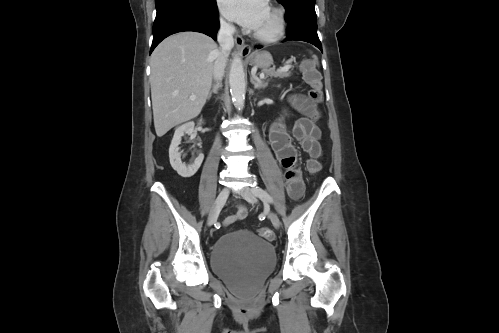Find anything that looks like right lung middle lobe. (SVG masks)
I'll return each mask as SVG.
<instances>
[{
  "instance_id": "dd1d6c3e",
  "label": "right lung middle lobe",
  "mask_w": 499,
  "mask_h": 333,
  "mask_svg": "<svg viewBox=\"0 0 499 333\" xmlns=\"http://www.w3.org/2000/svg\"><path fill=\"white\" fill-rule=\"evenodd\" d=\"M214 0H156V9L159 10L171 5L183 4L195 8H205Z\"/></svg>"
}]
</instances>
